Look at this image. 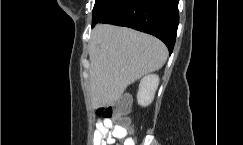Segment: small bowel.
Here are the masks:
<instances>
[{
  "label": "small bowel",
  "instance_id": "c3829d8e",
  "mask_svg": "<svg viewBox=\"0 0 243 145\" xmlns=\"http://www.w3.org/2000/svg\"><path fill=\"white\" fill-rule=\"evenodd\" d=\"M127 132L118 125H114L112 120L101 119L96 124L93 136L94 145H134L132 138H126ZM121 144H116V139H124Z\"/></svg>",
  "mask_w": 243,
  "mask_h": 145
}]
</instances>
